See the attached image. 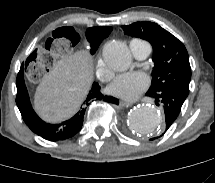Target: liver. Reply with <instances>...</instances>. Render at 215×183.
Returning a JSON list of instances; mask_svg holds the SVG:
<instances>
[{
  "instance_id": "1",
  "label": "liver",
  "mask_w": 215,
  "mask_h": 183,
  "mask_svg": "<svg viewBox=\"0 0 215 183\" xmlns=\"http://www.w3.org/2000/svg\"><path fill=\"white\" fill-rule=\"evenodd\" d=\"M92 82L93 62L87 51H77L60 59L36 89V112L51 123L70 118L86 98Z\"/></svg>"
}]
</instances>
